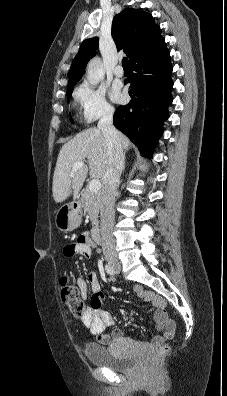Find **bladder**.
Listing matches in <instances>:
<instances>
[{"label":"bladder","instance_id":"obj_1","mask_svg":"<svg viewBox=\"0 0 227 396\" xmlns=\"http://www.w3.org/2000/svg\"><path fill=\"white\" fill-rule=\"evenodd\" d=\"M88 361L96 367L106 368L114 372H128L137 364V356L118 351L116 347L109 348L94 343L84 347Z\"/></svg>","mask_w":227,"mask_h":396}]
</instances>
